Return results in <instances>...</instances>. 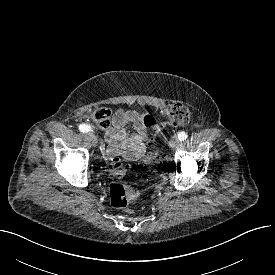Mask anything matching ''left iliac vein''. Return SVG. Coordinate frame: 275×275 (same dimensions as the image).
I'll return each instance as SVG.
<instances>
[{"instance_id": "left-iliac-vein-1", "label": "left iliac vein", "mask_w": 275, "mask_h": 275, "mask_svg": "<svg viewBox=\"0 0 275 275\" xmlns=\"http://www.w3.org/2000/svg\"><path fill=\"white\" fill-rule=\"evenodd\" d=\"M169 143H170V146H171L172 148H175V147L178 146L179 140H178V138H177L176 136H173V137L171 138V140H170Z\"/></svg>"}]
</instances>
